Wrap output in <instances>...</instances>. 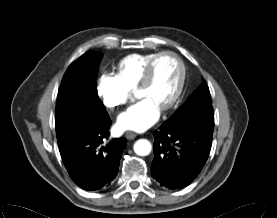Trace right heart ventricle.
I'll list each match as a JSON object with an SVG mask.
<instances>
[{
  "mask_svg": "<svg viewBox=\"0 0 277 218\" xmlns=\"http://www.w3.org/2000/svg\"><path fill=\"white\" fill-rule=\"evenodd\" d=\"M157 53H136L123 58L118 65L119 76L131 88H137L150 60Z\"/></svg>",
  "mask_w": 277,
  "mask_h": 218,
  "instance_id": "obj_1",
  "label": "right heart ventricle"
}]
</instances>
